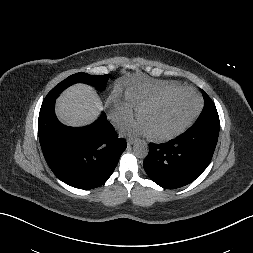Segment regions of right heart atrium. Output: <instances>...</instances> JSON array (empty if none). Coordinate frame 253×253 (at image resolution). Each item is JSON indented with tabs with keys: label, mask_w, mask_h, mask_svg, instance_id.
<instances>
[{
	"label": "right heart atrium",
	"mask_w": 253,
	"mask_h": 253,
	"mask_svg": "<svg viewBox=\"0 0 253 253\" xmlns=\"http://www.w3.org/2000/svg\"><path fill=\"white\" fill-rule=\"evenodd\" d=\"M113 118L117 124L129 123L133 118L132 106L126 101H115L113 105Z\"/></svg>",
	"instance_id": "1"
}]
</instances>
